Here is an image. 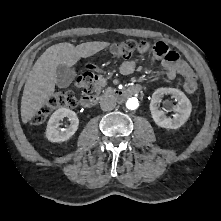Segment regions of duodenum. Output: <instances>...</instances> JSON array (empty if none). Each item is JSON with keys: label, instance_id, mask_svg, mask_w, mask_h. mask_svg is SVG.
<instances>
[{"label": "duodenum", "instance_id": "obj_1", "mask_svg": "<svg viewBox=\"0 0 221 221\" xmlns=\"http://www.w3.org/2000/svg\"><path fill=\"white\" fill-rule=\"evenodd\" d=\"M140 91H141L140 86L133 85V86H130L126 89L109 91L107 94L109 96L115 98L116 100L121 101V100H124L130 96L140 93ZM101 97H102V95H100V94L86 95L82 98V105L85 107H91V106L95 105L100 100Z\"/></svg>", "mask_w": 221, "mask_h": 221}]
</instances>
